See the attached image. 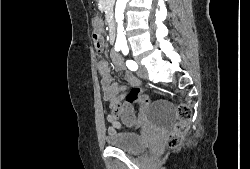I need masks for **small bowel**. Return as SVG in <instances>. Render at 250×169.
Instances as JSON below:
<instances>
[{"label":"small bowel","instance_id":"small-bowel-1","mask_svg":"<svg viewBox=\"0 0 250 169\" xmlns=\"http://www.w3.org/2000/svg\"><path fill=\"white\" fill-rule=\"evenodd\" d=\"M93 27L101 28V22L98 18H95L93 20ZM95 48L97 52H102L104 50V42L102 39L101 45H96ZM112 60L113 65L116 70L122 71L124 69V62L122 57L113 52L112 53ZM98 69L100 71V74L102 76V85L104 88V97L109 101V103H122V115L121 121L123 124H125L128 127H133L137 124L133 102H129L126 99V94L123 95L122 92L124 91V88L119 86L117 83L114 82L112 74L109 69L108 62L106 61H100L98 63ZM125 79L127 82L133 87H139L140 86V80L132 73L127 72L125 74ZM111 110V108H109ZM110 113L107 117L108 123L113 127H119V120H112Z\"/></svg>","mask_w":250,"mask_h":169}]
</instances>
